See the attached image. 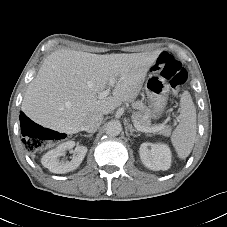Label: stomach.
I'll return each instance as SVG.
<instances>
[{
    "instance_id": "stomach-1",
    "label": "stomach",
    "mask_w": 227,
    "mask_h": 227,
    "mask_svg": "<svg viewBox=\"0 0 227 227\" xmlns=\"http://www.w3.org/2000/svg\"><path fill=\"white\" fill-rule=\"evenodd\" d=\"M151 115L153 118L159 117L167 104L169 95V86L163 78L157 74H150L144 86Z\"/></svg>"
}]
</instances>
